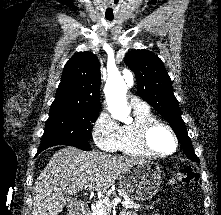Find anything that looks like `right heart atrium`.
Here are the masks:
<instances>
[{
  "label": "right heart atrium",
  "mask_w": 221,
  "mask_h": 215,
  "mask_svg": "<svg viewBox=\"0 0 221 215\" xmlns=\"http://www.w3.org/2000/svg\"><path fill=\"white\" fill-rule=\"evenodd\" d=\"M119 137L120 126L117 122L108 112L99 113L92 127V138L98 148L107 152L116 151Z\"/></svg>",
  "instance_id": "right-heart-atrium-1"
}]
</instances>
